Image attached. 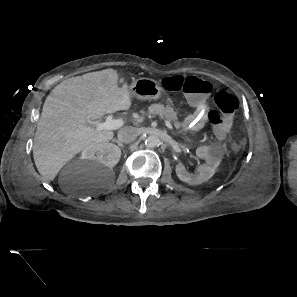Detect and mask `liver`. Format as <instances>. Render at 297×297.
Wrapping results in <instances>:
<instances>
[{
    "label": "liver",
    "instance_id": "liver-1",
    "mask_svg": "<svg viewBox=\"0 0 297 297\" xmlns=\"http://www.w3.org/2000/svg\"><path fill=\"white\" fill-rule=\"evenodd\" d=\"M131 104L128 85L118 87L114 69L87 73L57 85L44 102L35 132L33 158L38 172L52 181L83 149L109 142L113 131H98L87 118L96 121L105 114L128 110Z\"/></svg>",
    "mask_w": 297,
    "mask_h": 297
}]
</instances>
